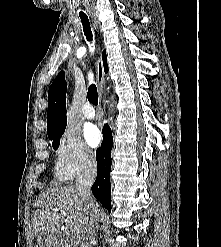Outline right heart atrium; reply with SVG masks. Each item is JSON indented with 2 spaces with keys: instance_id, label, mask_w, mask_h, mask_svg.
Wrapping results in <instances>:
<instances>
[{
  "instance_id": "1",
  "label": "right heart atrium",
  "mask_w": 221,
  "mask_h": 247,
  "mask_svg": "<svg viewBox=\"0 0 221 247\" xmlns=\"http://www.w3.org/2000/svg\"><path fill=\"white\" fill-rule=\"evenodd\" d=\"M93 161V151L75 129L68 127L61 136L55 152L56 178L60 181L71 180L90 169Z\"/></svg>"
}]
</instances>
